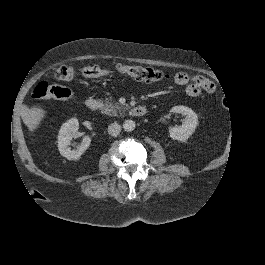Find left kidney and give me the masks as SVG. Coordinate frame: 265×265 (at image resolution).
<instances>
[{"label": "left kidney", "mask_w": 265, "mask_h": 265, "mask_svg": "<svg viewBox=\"0 0 265 265\" xmlns=\"http://www.w3.org/2000/svg\"><path fill=\"white\" fill-rule=\"evenodd\" d=\"M170 112L180 113L185 116V120L181 126L169 129L170 137L175 140L186 141L195 131L198 124L197 114L190 108L185 106H174Z\"/></svg>", "instance_id": "1"}]
</instances>
